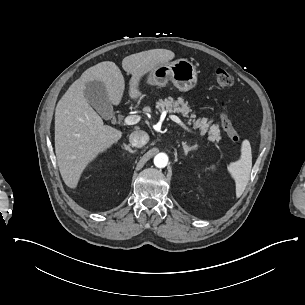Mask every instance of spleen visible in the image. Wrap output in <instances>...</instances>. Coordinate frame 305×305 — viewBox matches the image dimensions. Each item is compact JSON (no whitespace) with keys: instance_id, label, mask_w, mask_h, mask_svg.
<instances>
[{"instance_id":"obj_1","label":"spleen","mask_w":305,"mask_h":305,"mask_svg":"<svg viewBox=\"0 0 305 305\" xmlns=\"http://www.w3.org/2000/svg\"><path fill=\"white\" fill-rule=\"evenodd\" d=\"M252 168V152L250 142L248 140H244L241 145V158L232 162L227 166L228 171L231 176L234 178L236 183V196L240 197L250 178ZM211 170H215V165L210 166Z\"/></svg>"}]
</instances>
